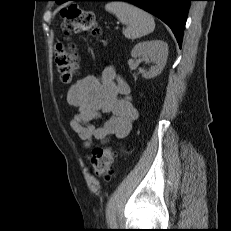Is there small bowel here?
<instances>
[{
    "instance_id": "obj_1",
    "label": "small bowel",
    "mask_w": 231,
    "mask_h": 231,
    "mask_svg": "<svg viewBox=\"0 0 231 231\" xmlns=\"http://www.w3.org/2000/svg\"><path fill=\"white\" fill-rule=\"evenodd\" d=\"M67 101L77 108L70 125L86 149L93 146L94 139L105 144L112 136L125 138L138 118L130 87L113 66L98 76L87 75L74 83L67 92ZM102 114H108V119L100 126L93 125Z\"/></svg>"
}]
</instances>
